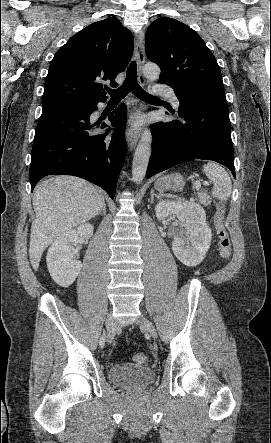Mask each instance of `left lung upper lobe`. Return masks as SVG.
Listing matches in <instances>:
<instances>
[{
  "label": "left lung upper lobe",
  "instance_id": "left-lung-upper-lobe-1",
  "mask_svg": "<svg viewBox=\"0 0 271 443\" xmlns=\"http://www.w3.org/2000/svg\"><path fill=\"white\" fill-rule=\"evenodd\" d=\"M145 40L146 55L160 66V77L168 78L172 84L194 85L225 94L217 61L193 29L162 17L151 23Z\"/></svg>",
  "mask_w": 271,
  "mask_h": 443
}]
</instances>
